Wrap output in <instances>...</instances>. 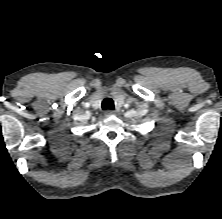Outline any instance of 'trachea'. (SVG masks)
Segmentation results:
<instances>
[{"instance_id": "obj_1", "label": "trachea", "mask_w": 222, "mask_h": 219, "mask_svg": "<svg viewBox=\"0 0 222 219\" xmlns=\"http://www.w3.org/2000/svg\"><path fill=\"white\" fill-rule=\"evenodd\" d=\"M102 109L107 110V109H114V101L111 98H106L102 101Z\"/></svg>"}]
</instances>
